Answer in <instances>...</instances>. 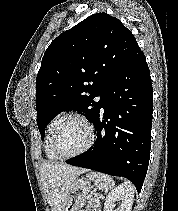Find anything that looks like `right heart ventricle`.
<instances>
[{
	"label": "right heart ventricle",
	"instance_id": "right-heart-ventricle-1",
	"mask_svg": "<svg viewBox=\"0 0 178 211\" xmlns=\"http://www.w3.org/2000/svg\"><path fill=\"white\" fill-rule=\"evenodd\" d=\"M65 116L66 115H65L64 112H62V111L61 112H58L51 119V121L49 122V124L47 126L46 139H45V152H46V156L50 160H57V159H59L58 156L53 151V148H52V139H53V134H54V131H55L56 127L64 119Z\"/></svg>",
	"mask_w": 178,
	"mask_h": 211
}]
</instances>
